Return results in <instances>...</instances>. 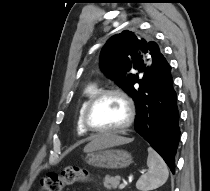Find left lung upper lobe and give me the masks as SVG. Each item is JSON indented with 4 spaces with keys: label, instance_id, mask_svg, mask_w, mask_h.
<instances>
[{
    "label": "left lung upper lobe",
    "instance_id": "obj_1",
    "mask_svg": "<svg viewBox=\"0 0 210 191\" xmlns=\"http://www.w3.org/2000/svg\"><path fill=\"white\" fill-rule=\"evenodd\" d=\"M165 61L155 42L128 30L111 37L100 54L103 72L127 92L136 105L149 88L152 76ZM135 70L142 74L135 73Z\"/></svg>",
    "mask_w": 210,
    "mask_h": 191
}]
</instances>
